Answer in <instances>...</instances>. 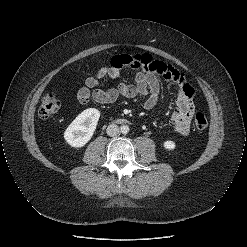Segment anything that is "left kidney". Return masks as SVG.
Wrapping results in <instances>:
<instances>
[{
	"mask_svg": "<svg viewBox=\"0 0 247 247\" xmlns=\"http://www.w3.org/2000/svg\"><path fill=\"white\" fill-rule=\"evenodd\" d=\"M163 146L165 149L167 150H174L175 147H176V144L174 141H171V140H167L163 143Z\"/></svg>",
	"mask_w": 247,
	"mask_h": 247,
	"instance_id": "1",
	"label": "left kidney"
}]
</instances>
